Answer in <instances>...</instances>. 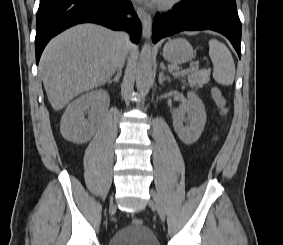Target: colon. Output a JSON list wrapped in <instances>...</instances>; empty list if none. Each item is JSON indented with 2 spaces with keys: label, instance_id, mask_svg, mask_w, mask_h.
Here are the masks:
<instances>
[{
  "label": "colon",
  "instance_id": "obj_1",
  "mask_svg": "<svg viewBox=\"0 0 283 245\" xmlns=\"http://www.w3.org/2000/svg\"><path fill=\"white\" fill-rule=\"evenodd\" d=\"M212 98L216 104V106L219 109V112L221 115L226 116L228 114L229 108L227 105V101L225 97L223 96L222 92L218 88H213L212 89ZM132 223L134 225H142L143 221L139 217H135L132 220Z\"/></svg>",
  "mask_w": 283,
  "mask_h": 245
}]
</instances>
